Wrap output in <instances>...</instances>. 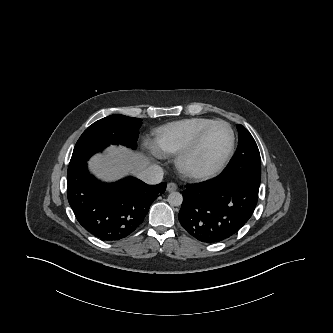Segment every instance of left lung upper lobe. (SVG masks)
Listing matches in <instances>:
<instances>
[{
  "mask_svg": "<svg viewBox=\"0 0 333 333\" xmlns=\"http://www.w3.org/2000/svg\"><path fill=\"white\" fill-rule=\"evenodd\" d=\"M237 129L239 134L237 151L221 176L239 177L259 187L261 158L257 144L246 128L238 124Z\"/></svg>",
  "mask_w": 333,
  "mask_h": 333,
  "instance_id": "1",
  "label": "left lung upper lobe"
}]
</instances>
